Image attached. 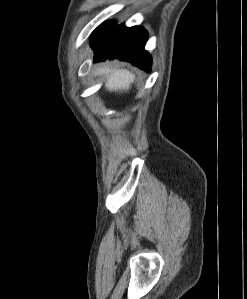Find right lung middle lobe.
I'll use <instances>...</instances> for the list:
<instances>
[{
  "instance_id": "right-lung-middle-lobe-1",
  "label": "right lung middle lobe",
  "mask_w": 247,
  "mask_h": 299,
  "mask_svg": "<svg viewBox=\"0 0 247 299\" xmlns=\"http://www.w3.org/2000/svg\"><path fill=\"white\" fill-rule=\"evenodd\" d=\"M114 24H115V23H113V22L103 23V24H101L99 27H97V28L95 29V31L92 33V35L97 34V33L101 32V31H103V30H105V29L111 27V26L114 25Z\"/></svg>"
}]
</instances>
